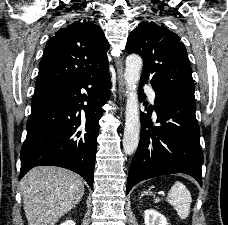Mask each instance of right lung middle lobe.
Wrapping results in <instances>:
<instances>
[{
	"label": "right lung middle lobe",
	"instance_id": "right-lung-middle-lobe-1",
	"mask_svg": "<svg viewBox=\"0 0 228 225\" xmlns=\"http://www.w3.org/2000/svg\"><path fill=\"white\" fill-rule=\"evenodd\" d=\"M44 90H47V89L35 90V93L41 92V91H44Z\"/></svg>",
	"mask_w": 228,
	"mask_h": 225
}]
</instances>
